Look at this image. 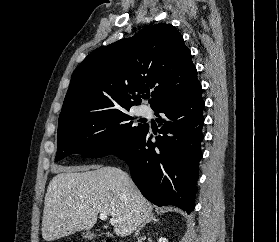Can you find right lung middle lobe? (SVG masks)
I'll list each match as a JSON object with an SVG mask.
<instances>
[{"instance_id":"right-lung-middle-lobe-1","label":"right lung middle lobe","mask_w":279,"mask_h":242,"mask_svg":"<svg viewBox=\"0 0 279 242\" xmlns=\"http://www.w3.org/2000/svg\"><path fill=\"white\" fill-rule=\"evenodd\" d=\"M127 111L103 118H85L58 125L55 160L67 155L99 158L119 154L147 127L133 125Z\"/></svg>"}]
</instances>
